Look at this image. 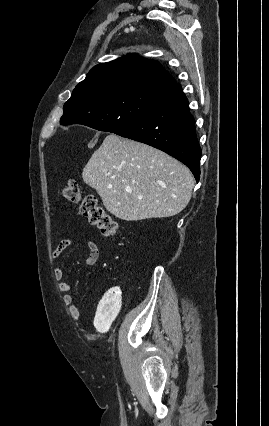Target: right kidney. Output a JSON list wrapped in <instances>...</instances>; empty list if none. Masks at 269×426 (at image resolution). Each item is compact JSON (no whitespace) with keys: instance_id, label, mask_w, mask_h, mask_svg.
<instances>
[{"instance_id":"obj_1","label":"right kidney","mask_w":269,"mask_h":426,"mask_svg":"<svg viewBox=\"0 0 269 426\" xmlns=\"http://www.w3.org/2000/svg\"><path fill=\"white\" fill-rule=\"evenodd\" d=\"M121 308V293L118 286H111L97 307L94 326L99 332L109 330Z\"/></svg>"}]
</instances>
